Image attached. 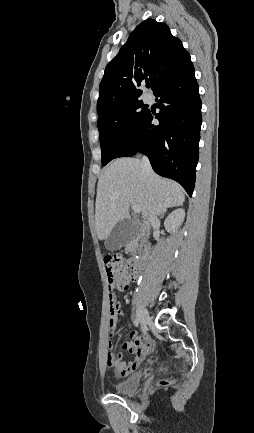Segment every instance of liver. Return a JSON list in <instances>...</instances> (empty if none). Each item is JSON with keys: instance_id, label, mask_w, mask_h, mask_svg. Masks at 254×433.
I'll return each instance as SVG.
<instances>
[{"instance_id": "obj_1", "label": "liver", "mask_w": 254, "mask_h": 433, "mask_svg": "<svg viewBox=\"0 0 254 433\" xmlns=\"http://www.w3.org/2000/svg\"><path fill=\"white\" fill-rule=\"evenodd\" d=\"M185 201L183 188L176 182L147 172L137 158L113 161L99 178L95 204V229L105 240L113 227L129 214L130 205L140 207L144 219L163 214Z\"/></svg>"}]
</instances>
